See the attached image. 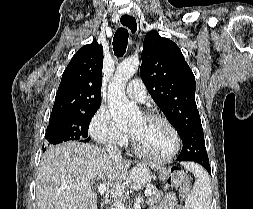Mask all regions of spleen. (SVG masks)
Returning a JSON list of instances; mask_svg holds the SVG:
<instances>
[{"instance_id": "1", "label": "spleen", "mask_w": 253, "mask_h": 209, "mask_svg": "<svg viewBox=\"0 0 253 209\" xmlns=\"http://www.w3.org/2000/svg\"><path fill=\"white\" fill-rule=\"evenodd\" d=\"M184 167L193 173L195 183L193 189L185 201V209H210L211 183L207 172L194 163H183Z\"/></svg>"}]
</instances>
